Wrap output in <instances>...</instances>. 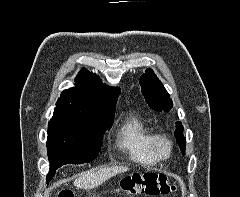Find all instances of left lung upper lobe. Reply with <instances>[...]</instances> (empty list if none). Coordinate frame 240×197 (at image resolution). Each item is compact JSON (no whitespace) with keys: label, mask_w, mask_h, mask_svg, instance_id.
<instances>
[{"label":"left lung upper lobe","mask_w":240,"mask_h":197,"mask_svg":"<svg viewBox=\"0 0 240 197\" xmlns=\"http://www.w3.org/2000/svg\"><path fill=\"white\" fill-rule=\"evenodd\" d=\"M140 85L142 87V94L147 104L155 111H169L173 107L170 95L166 89L153 73L151 69H147L146 72L140 77ZM177 130L175 131L176 141L180 146L182 154H185L186 141L183 136V126L181 122L176 123Z\"/></svg>","instance_id":"1"}]
</instances>
